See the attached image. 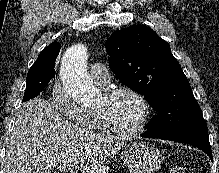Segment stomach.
<instances>
[{
	"instance_id": "1",
	"label": "stomach",
	"mask_w": 219,
	"mask_h": 173,
	"mask_svg": "<svg viewBox=\"0 0 219 173\" xmlns=\"http://www.w3.org/2000/svg\"><path fill=\"white\" fill-rule=\"evenodd\" d=\"M121 156L130 173H153L163 162L161 152L145 142H133L126 146Z\"/></svg>"
}]
</instances>
